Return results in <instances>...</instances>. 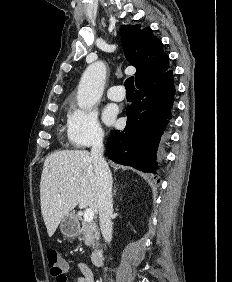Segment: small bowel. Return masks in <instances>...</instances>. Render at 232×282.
Masks as SVG:
<instances>
[{"label": "small bowel", "instance_id": "c3829d8e", "mask_svg": "<svg viewBox=\"0 0 232 282\" xmlns=\"http://www.w3.org/2000/svg\"><path fill=\"white\" fill-rule=\"evenodd\" d=\"M64 269L65 270L69 269L68 264L65 262H64ZM77 270L80 275L76 278V282H95L94 273L88 265L84 263H78ZM55 279H56V282H67L66 275L63 278H55Z\"/></svg>", "mask_w": 232, "mask_h": 282}]
</instances>
